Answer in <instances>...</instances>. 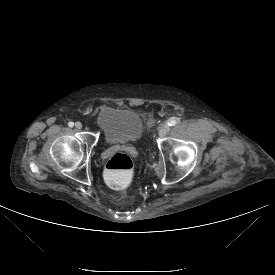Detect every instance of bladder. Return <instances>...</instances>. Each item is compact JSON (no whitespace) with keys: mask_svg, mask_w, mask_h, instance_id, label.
Returning a JSON list of instances; mask_svg holds the SVG:
<instances>
[{"mask_svg":"<svg viewBox=\"0 0 275 275\" xmlns=\"http://www.w3.org/2000/svg\"><path fill=\"white\" fill-rule=\"evenodd\" d=\"M96 124L108 143H132L142 135L144 122L139 111L124 107H102Z\"/></svg>","mask_w":275,"mask_h":275,"instance_id":"1","label":"bladder"}]
</instances>
